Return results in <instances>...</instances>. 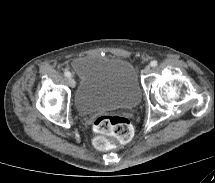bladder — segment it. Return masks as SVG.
<instances>
[{
    "mask_svg": "<svg viewBox=\"0 0 215 183\" xmlns=\"http://www.w3.org/2000/svg\"><path fill=\"white\" fill-rule=\"evenodd\" d=\"M72 68L80 79L74 96L79 112L133 108L140 102L137 73L129 61L90 54L75 58Z\"/></svg>",
    "mask_w": 215,
    "mask_h": 183,
    "instance_id": "obj_1",
    "label": "bladder"
}]
</instances>
